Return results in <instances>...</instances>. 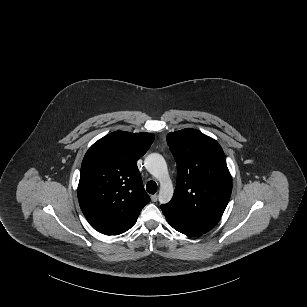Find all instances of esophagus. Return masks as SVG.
<instances>
[{
    "label": "esophagus",
    "mask_w": 307,
    "mask_h": 307,
    "mask_svg": "<svg viewBox=\"0 0 307 307\" xmlns=\"http://www.w3.org/2000/svg\"><path fill=\"white\" fill-rule=\"evenodd\" d=\"M151 200H152V202H156L158 200L157 194L151 195Z\"/></svg>",
    "instance_id": "esophagus-1"
}]
</instances>
